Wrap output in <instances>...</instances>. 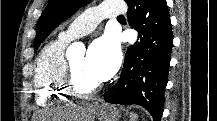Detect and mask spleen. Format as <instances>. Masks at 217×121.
Wrapping results in <instances>:
<instances>
[{
	"label": "spleen",
	"instance_id": "obj_1",
	"mask_svg": "<svg viewBox=\"0 0 217 121\" xmlns=\"http://www.w3.org/2000/svg\"><path fill=\"white\" fill-rule=\"evenodd\" d=\"M131 120L130 121H135V119L137 118L136 114L131 113L130 114Z\"/></svg>",
	"mask_w": 217,
	"mask_h": 121
}]
</instances>
